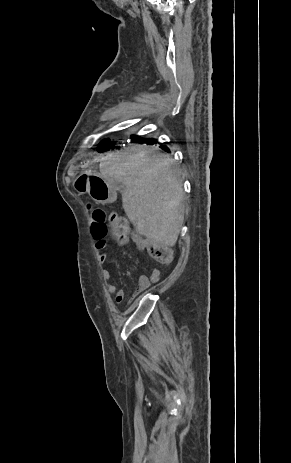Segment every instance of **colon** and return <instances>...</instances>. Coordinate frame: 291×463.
<instances>
[{"label": "colon", "instance_id": "5ec220e1", "mask_svg": "<svg viewBox=\"0 0 291 463\" xmlns=\"http://www.w3.org/2000/svg\"><path fill=\"white\" fill-rule=\"evenodd\" d=\"M90 217L91 235L97 249L105 248L106 238L111 234L117 240H127L133 235L128 221L116 213H108L100 207H90ZM143 246L158 263L168 265L172 262L173 253L169 247L145 239Z\"/></svg>", "mask_w": 291, "mask_h": 463}]
</instances>
